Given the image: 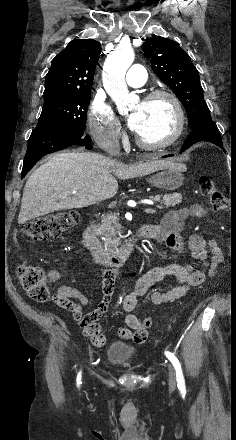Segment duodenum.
<instances>
[{"mask_svg":"<svg viewBox=\"0 0 236 440\" xmlns=\"http://www.w3.org/2000/svg\"><path fill=\"white\" fill-rule=\"evenodd\" d=\"M153 229L152 225H142L136 228L121 246L107 250L97 237L93 222L90 221L83 229V240L99 266L118 268L124 264L141 240L151 237Z\"/></svg>","mask_w":236,"mask_h":440,"instance_id":"obj_1","label":"duodenum"}]
</instances>
